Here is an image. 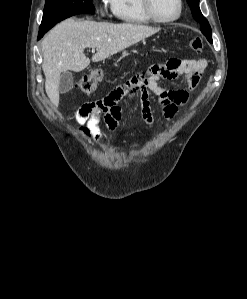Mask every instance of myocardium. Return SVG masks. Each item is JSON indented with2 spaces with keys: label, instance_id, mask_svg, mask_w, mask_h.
Listing matches in <instances>:
<instances>
[{
  "label": "myocardium",
  "instance_id": "f54148a6",
  "mask_svg": "<svg viewBox=\"0 0 247 299\" xmlns=\"http://www.w3.org/2000/svg\"><path fill=\"white\" fill-rule=\"evenodd\" d=\"M142 1H143V7H144L146 14L154 22H157L160 24H168V23H172V22L178 20L179 17L181 16L182 9H183V1L182 0H177L178 10H177L176 15L174 17L168 18V19H162L156 15V13L154 12V9H153V1L152 0H142Z\"/></svg>",
  "mask_w": 247,
  "mask_h": 299
}]
</instances>
